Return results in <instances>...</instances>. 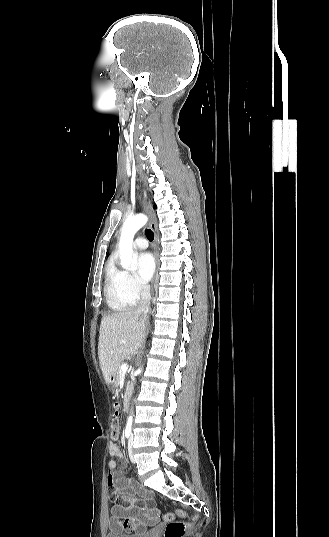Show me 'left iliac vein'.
<instances>
[{
  "instance_id": "4c4485c4",
  "label": "left iliac vein",
  "mask_w": 329,
  "mask_h": 537,
  "mask_svg": "<svg viewBox=\"0 0 329 537\" xmlns=\"http://www.w3.org/2000/svg\"><path fill=\"white\" fill-rule=\"evenodd\" d=\"M133 444H134V435L131 434V436L129 438V441H128V450H129V454H130V459L132 460V462H135L134 457H133V453H132Z\"/></svg>"
}]
</instances>
